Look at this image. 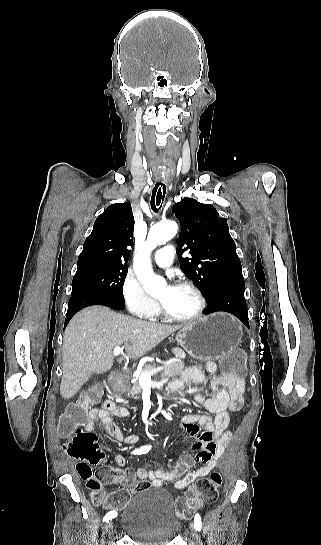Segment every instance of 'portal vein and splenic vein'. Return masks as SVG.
Returning <instances> with one entry per match:
<instances>
[{
    "label": "portal vein and splenic vein",
    "mask_w": 321,
    "mask_h": 545,
    "mask_svg": "<svg viewBox=\"0 0 321 545\" xmlns=\"http://www.w3.org/2000/svg\"><path fill=\"white\" fill-rule=\"evenodd\" d=\"M121 353H123V349H121V347H115L113 355H115V357H118V355H121ZM162 368H164V370H167V367L161 365V368H151V370L142 371L139 377V383L141 387H153V383H151V376H157L158 371H162Z\"/></svg>",
    "instance_id": "portal-vein-and-splenic-vein-1"
}]
</instances>
